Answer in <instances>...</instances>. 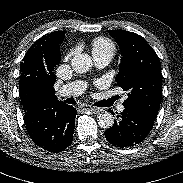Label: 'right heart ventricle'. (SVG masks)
Masks as SVG:
<instances>
[{"mask_svg": "<svg viewBox=\"0 0 183 183\" xmlns=\"http://www.w3.org/2000/svg\"><path fill=\"white\" fill-rule=\"evenodd\" d=\"M91 50L94 57L108 56L112 59L116 53V45L111 39L100 36L92 40Z\"/></svg>", "mask_w": 183, "mask_h": 183, "instance_id": "obj_1", "label": "right heart ventricle"}]
</instances>
